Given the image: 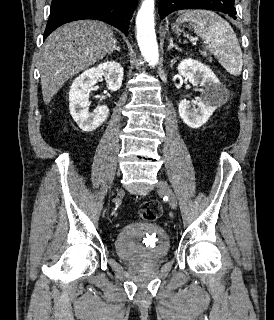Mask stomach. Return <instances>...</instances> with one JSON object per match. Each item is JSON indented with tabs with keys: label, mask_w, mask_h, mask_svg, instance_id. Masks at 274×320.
<instances>
[{
	"label": "stomach",
	"mask_w": 274,
	"mask_h": 320,
	"mask_svg": "<svg viewBox=\"0 0 274 320\" xmlns=\"http://www.w3.org/2000/svg\"><path fill=\"white\" fill-rule=\"evenodd\" d=\"M172 30L173 32H176V34H178V32H183L180 22H177V24H173Z\"/></svg>",
	"instance_id": "obj_1"
}]
</instances>
